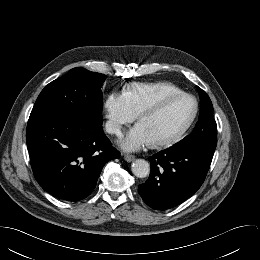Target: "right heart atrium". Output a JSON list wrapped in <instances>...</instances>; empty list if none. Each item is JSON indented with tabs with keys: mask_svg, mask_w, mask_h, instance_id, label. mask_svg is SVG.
Returning a JSON list of instances; mask_svg holds the SVG:
<instances>
[{
	"mask_svg": "<svg viewBox=\"0 0 260 260\" xmlns=\"http://www.w3.org/2000/svg\"><path fill=\"white\" fill-rule=\"evenodd\" d=\"M106 129L112 135H120L124 127L133 122L136 115L130 109L123 94L112 92L105 102Z\"/></svg>",
	"mask_w": 260,
	"mask_h": 260,
	"instance_id": "obj_1",
	"label": "right heart atrium"
}]
</instances>
